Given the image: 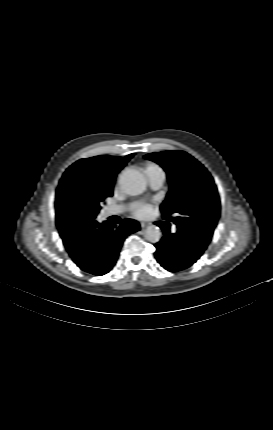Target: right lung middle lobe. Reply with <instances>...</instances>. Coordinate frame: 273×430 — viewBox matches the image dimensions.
<instances>
[{
  "instance_id": "1",
  "label": "right lung middle lobe",
  "mask_w": 273,
  "mask_h": 430,
  "mask_svg": "<svg viewBox=\"0 0 273 430\" xmlns=\"http://www.w3.org/2000/svg\"><path fill=\"white\" fill-rule=\"evenodd\" d=\"M113 188L91 187L73 176L63 177L56 194V224L61 234L82 233L91 224Z\"/></svg>"
}]
</instances>
